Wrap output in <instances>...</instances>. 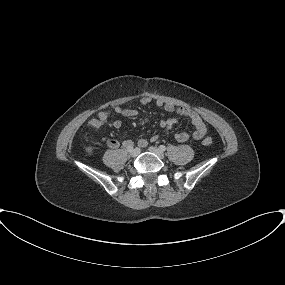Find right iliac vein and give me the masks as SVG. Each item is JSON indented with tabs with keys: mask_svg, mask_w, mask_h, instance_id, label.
I'll return each mask as SVG.
<instances>
[{
	"mask_svg": "<svg viewBox=\"0 0 285 285\" xmlns=\"http://www.w3.org/2000/svg\"><path fill=\"white\" fill-rule=\"evenodd\" d=\"M129 154H130L131 157L135 158V157H137L140 154V149L135 148V149L131 150L129 152Z\"/></svg>",
	"mask_w": 285,
	"mask_h": 285,
	"instance_id": "63e3f726",
	"label": "right iliac vein"
}]
</instances>
